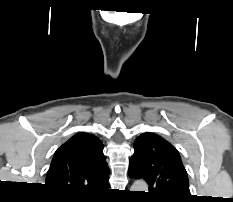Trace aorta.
Segmentation results:
<instances>
[{
	"mask_svg": "<svg viewBox=\"0 0 233 202\" xmlns=\"http://www.w3.org/2000/svg\"><path fill=\"white\" fill-rule=\"evenodd\" d=\"M147 189V184L144 181H136L131 187V191H146Z\"/></svg>",
	"mask_w": 233,
	"mask_h": 202,
	"instance_id": "1",
	"label": "aorta"
}]
</instances>
